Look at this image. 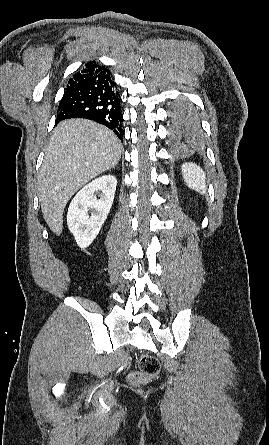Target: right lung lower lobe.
Returning <instances> with one entry per match:
<instances>
[{
  "label": "right lung lower lobe",
  "mask_w": 269,
  "mask_h": 445,
  "mask_svg": "<svg viewBox=\"0 0 269 445\" xmlns=\"http://www.w3.org/2000/svg\"><path fill=\"white\" fill-rule=\"evenodd\" d=\"M120 101L110 71L95 61L87 62L68 81L59 103L56 124L65 119L86 118L107 126L123 140Z\"/></svg>",
  "instance_id": "obj_1"
}]
</instances>
